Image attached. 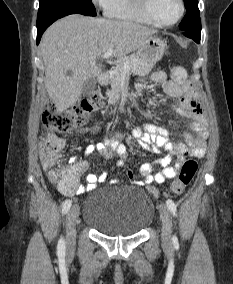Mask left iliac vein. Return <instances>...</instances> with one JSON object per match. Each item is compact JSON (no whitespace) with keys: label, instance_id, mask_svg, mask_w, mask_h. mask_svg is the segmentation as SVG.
<instances>
[{"label":"left iliac vein","instance_id":"1","mask_svg":"<svg viewBox=\"0 0 233 284\" xmlns=\"http://www.w3.org/2000/svg\"><path fill=\"white\" fill-rule=\"evenodd\" d=\"M159 210L162 221V243L164 245H170L172 233V217L169 209L164 204L160 205Z\"/></svg>","mask_w":233,"mask_h":284}]
</instances>
